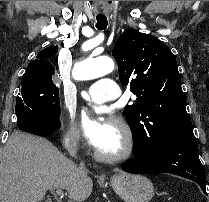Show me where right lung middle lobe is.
Segmentation results:
<instances>
[{"label": "right lung middle lobe", "mask_w": 209, "mask_h": 202, "mask_svg": "<svg viewBox=\"0 0 209 202\" xmlns=\"http://www.w3.org/2000/svg\"><path fill=\"white\" fill-rule=\"evenodd\" d=\"M25 113L60 117L59 90L52 82V75L32 74L22 77L15 114L21 116Z\"/></svg>", "instance_id": "obj_1"}]
</instances>
